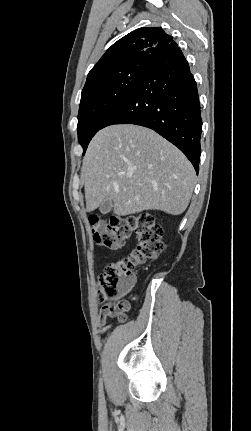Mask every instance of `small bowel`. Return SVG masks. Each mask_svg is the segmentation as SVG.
<instances>
[{
    "instance_id": "obj_1",
    "label": "small bowel",
    "mask_w": 251,
    "mask_h": 431,
    "mask_svg": "<svg viewBox=\"0 0 251 431\" xmlns=\"http://www.w3.org/2000/svg\"><path fill=\"white\" fill-rule=\"evenodd\" d=\"M108 316L110 315L102 308L98 318V325L100 326L102 331L105 330L106 318Z\"/></svg>"
}]
</instances>
